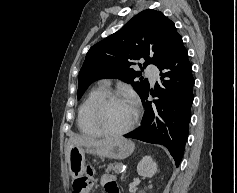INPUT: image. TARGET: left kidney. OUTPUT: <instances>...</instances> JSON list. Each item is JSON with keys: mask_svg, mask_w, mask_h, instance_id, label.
<instances>
[{"mask_svg": "<svg viewBox=\"0 0 237 193\" xmlns=\"http://www.w3.org/2000/svg\"><path fill=\"white\" fill-rule=\"evenodd\" d=\"M137 172L140 176L151 178L157 172V164L151 156H144L138 163Z\"/></svg>", "mask_w": 237, "mask_h": 193, "instance_id": "5707ae66", "label": "left kidney"}]
</instances>
